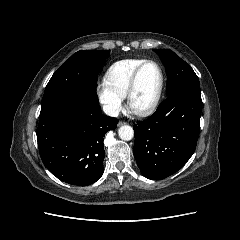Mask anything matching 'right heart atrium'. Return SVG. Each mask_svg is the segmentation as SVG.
Here are the masks:
<instances>
[{
    "label": "right heart atrium",
    "mask_w": 240,
    "mask_h": 240,
    "mask_svg": "<svg viewBox=\"0 0 240 240\" xmlns=\"http://www.w3.org/2000/svg\"><path fill=\"white\" fill-rule=\"evenodd\" d=\"M96 93L105 112L115 116L122 108V98L114 93L105 83L97 86Z\"/></svg>",
    "instance_id": "d8ad5b80"
}]
</instances>
